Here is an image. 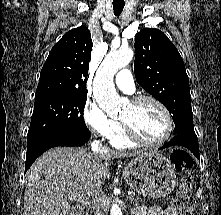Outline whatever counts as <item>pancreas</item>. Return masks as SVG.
I'll list each match as a JSON object with an SVG mask.
<instances>
[{"label":"pancreas","mask_w":221,"mask_h":215,"mask_svg":"<svg viewBox=\"0 0 221 215\" xmlns=\"http://www.w3.org/2000/svg\"><path fill=\"white\" fill-rule=\"evenodd\" d=\"M131 197H132L131 201H133V204L135 206H138L139 204H144V202H145V200L143 198H141L139 195H137L135 193H133Z\"/></svg>","instance_id":"cf45deb5"}]
</instances>
